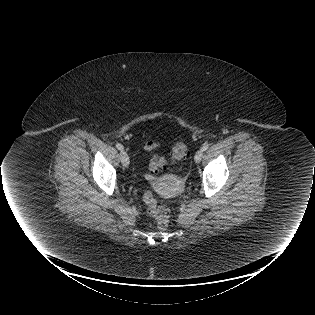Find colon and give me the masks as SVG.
<instances>
[{
	"instance_id": "1",
	"label": "colon",
	"mask_w": 315,
	"mask_h": 315,
	"mask_svg": "<svg viewBox=\"0 0 315 315\" xmlns=\"http://www.w3.org/2000/svg\"><path fill=\"white\" fill-rule=\"evenodd\" d=\"M188 149L185 143H176L171 150L170 158L155 157L149 164L152 173H158L165 169L168 165L181 160L187 155ZM143 200L147 206L148 213L155 219L159 229H166L169 225L170 211L165 206H159L154 195L150 192L144 194Z\"/></svg>"
}]
</instances>
